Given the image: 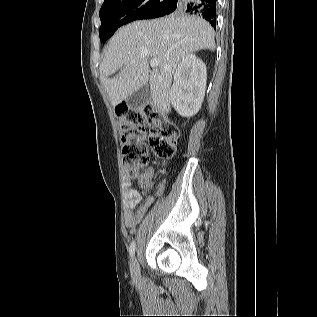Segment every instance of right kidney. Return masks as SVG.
<instances>
[{
    "mask_svg": "<svg viewBox=\"0 0 317 317\" xmlns=\"http://www.w3.org/2000/svg\"><path fill=\"white\" fill-rule=\"evenodd\" d=\"M206 79V66L195 54H188L178 64L170 98L181 116H192L199 111L205 96Z\"/></svg>",
    "mask_w": 317,
    "mask_h": 317,
    "instance_id": "obj_1",
    "label": "right kidney"
}]
</instances>
